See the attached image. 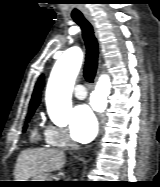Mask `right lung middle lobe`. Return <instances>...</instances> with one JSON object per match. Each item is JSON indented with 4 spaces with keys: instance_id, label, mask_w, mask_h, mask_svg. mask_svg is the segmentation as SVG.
<instances>
[{
    "instance_id": "obj_1",
    "label": "right lung middle lobe",
    "mask_w": 160,
    "mask_h": 187,
    "mask_svg": "<svg viewBox=\"0 0 160 187\" xmlns=\"http://www.w3.org/2000/svg\"><path fill=\"white\" fill-rule=\"evenodd\" d=\"M34 111H35V109L29 110V113H28V116H27V121L32 117ZM24 129H26V127Z\"/></svg>"
}]
</instances>
